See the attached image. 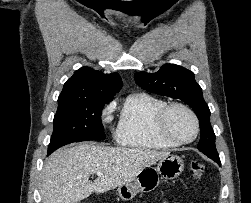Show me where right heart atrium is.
Returning a JSON list of instances; mask_svg holds the SVG:
<instances>
[{
	"mask_svg": "<svg viewBox=\"0 0 251 203\" xmlns=\"http://www.w3.org/2000/svg\"><path fill=\"white\" fill-rule=\"evenodd\" d=\"M113 108H114V105H110V106L107 108V110H106V112H105V114H104L105 120H106V121L110 120V113L112 112Z\"/></svg>",
	"mask_w": 251,
	"mask_h": 203,
	"instance_id": "right-heart-atrium-1",
	"label": "right heart atrium"
}]
</instances>
